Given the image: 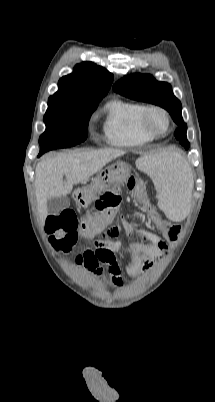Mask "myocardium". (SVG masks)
Wrapping results in <instances>:
<instances>
[{
  "label": "myocardium",
  "instance_id": "myocardium-1",
  "mask_svg": "<svg viewBox=\"0 0 215 402\" xmlns=\"http://www.w3.org/2000/svg\"><path fill=\"white\" fill-rule=\"evenodd\" d=\"M152 113H160L161 115H163V117L165 118L166 121V128L159 132V131H155L149 124V116ZM140 127L143 130V132L153 138H159V137H163L166 134H168V132L170 131L171 128V118L170 115L168 113V111L159 106V105H147L144 106L141 115H140Z\"/></svg>",
  "mask_w": 215,
  "mask_h": 402
}]
</instances>
